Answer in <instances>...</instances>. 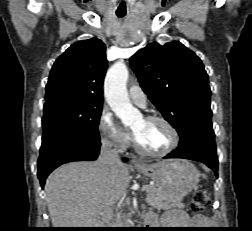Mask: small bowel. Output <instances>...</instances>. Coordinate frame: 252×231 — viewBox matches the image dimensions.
Instances as JSON below:
<instances>
[{
  "label": "small bowel",
  "instance_id": "obj_1",
  "mask_svg": "<svg viewBox=\"0 0 252 231\" xmlns=\"http://www.w3.org/2000/svg\"><path fill=\"white\" fill-rule=\"evenodd\" d=\"M166 219L173 221L179 227L191 229L192 231H197L195 229L205 227L209 222V219L204 215H196L193 218H189L181 210H175L167 213Z\"/></svg>",
  "mask_w": 252,
  "mask_h": 231
}]
</instances>
